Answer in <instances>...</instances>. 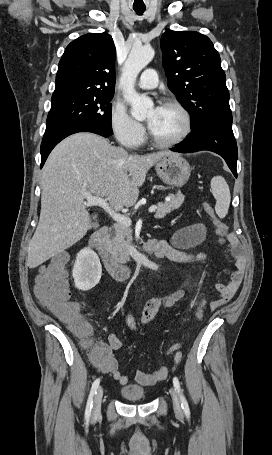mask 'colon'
<instances>
[{
    "label": "colon",
    "mask_w": 272,
    "mask_h": 455,
    "mask_svg": "<svg viewBox=\"0 0 272 455\" xmlns=\"http://www.w3.org/2000/svg\"><path fill=\"white\" fill-rule=\"evenodd\" d=\"M204 208L214 224L220 241L223 242L227 235L226 224L216 217L213 208L209 204L205 203ZM66 263L67 256L58 254L41 267L36 278L35 295L44 307L66 323L76 335L89 342L92 335V327L81 318L79 306L70 301ZM201 313L202 309L200 307L197 311V317H200ZM180 348L181 343H177L169 349V353H177ZM103 355L104 351L101 346L94 348L92 352L94 360L102 359Z\"/></svg>",
    "instance_id": "obj_1"
}]
</instances>
